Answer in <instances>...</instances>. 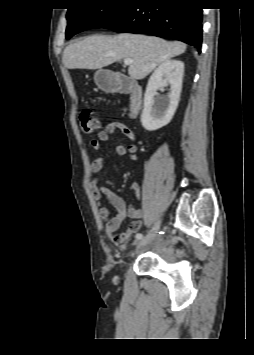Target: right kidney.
Instances as JSON below:
<instances>
[{
	"label": "right kidney",
	"instance_id": "obj_1",
	"mask_svg": "<svg viewBox=\"0 0 254 355\" xmlns=\"http://www.w3.org/2000/svg\"><path fill=\"white\" fill-rule=\"evenodd\" d=\"M184 63L180 60H166L151 75L144 95V109L141 115L142 126L155 131L167 125L172 119L182 89ZM170 85L167 96H159L157 90Z\"/></svg>",
	"mask_w": 254,
	"mask_h": 355
}]
</instances>
